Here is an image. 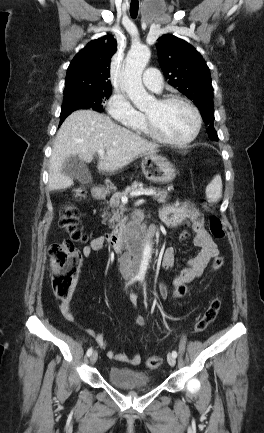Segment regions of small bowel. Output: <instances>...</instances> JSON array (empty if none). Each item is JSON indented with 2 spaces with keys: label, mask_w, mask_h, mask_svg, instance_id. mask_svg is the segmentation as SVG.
Returning a JSON list of instances; mask_svg holds the SVG:
<instances>
[{
  "label": "small bowel",
  "mask_w": 264,
  "mask_h": 433,
  "mask_svg": "<svg viewBox=\"0 0 264 433\" xmlns=\"http://www.w3.org/2000/svg\"><path fill=\"white\" fill-rule=\"evenodd\" d=\"M160 215L169 226L176 227L184 225L185 228L180 235L182 241L187 240L191 233L194 234L193 243L199 248L198 254L188 261V267L181 270L180 274L175 278L174 285L188 284L194 279L200 277L205 270L207 264L215 255H218L219 250L213 241L211 235L206 230L204 225V217L189 201H180L165 205L160 210ZM105 247L104 238L99 237L92 240L86 245L82 254L85 258H89L94 253L103 251ZM176 247L167 248L161 258V265L165 269H170L174 266L176 259ZM158 290L162 299L167 297V288L165 284L159 283ZM72 293L67 298L61 299L60 310L64 318L69 322H74V314L71 309ZM136 322L140 325H145L147 320L141 316H137ZM85 332L94 337L96 343L104 348L107 346L105 335L102 332L86 329ZM109 358L120 361L129 365H137L141 359L139 355L118 354L113 351L108 352Z\"/></svg>",
  "instance_id": "1"
}]
</instances>
